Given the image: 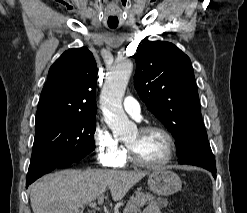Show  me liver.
<instances>
[{"instance_id":"1","label":"liver","mask_w":247,"mask_h":213,"mask_svg":"<svg viewBox=\"0 0 247 213\" xmlns=\"http://www.w3.org/2000/svg\"><path fill=\"white\" fill-rule=\"evenodd\" d=\"M147 174L100 169L55 172L31 186V207L34 213H83L84 205L101 196L106 188L114 201H120Z\"/></svg>"}]
</instances>
